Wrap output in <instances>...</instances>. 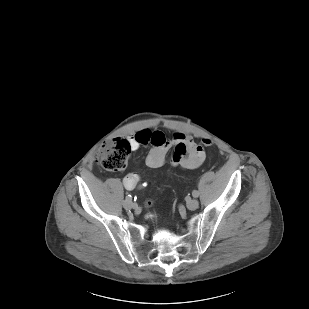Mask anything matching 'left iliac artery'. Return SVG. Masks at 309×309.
<instances>
[{"mask_svg":"<svg viewBox=\"0 0 309 309\" xmlns=\"http://www.w3.org/2000/svg\"><path fill=\"white\" fill-rule=\"evenodd\" d=\"M192 195H193V197H198L199 196V192L197 191V190H194L193 192H192Z\"/></svg>","mask_w":309,"mask_h":309,"instance_id":"1","label":"left iliac artery"}]
</instances>
